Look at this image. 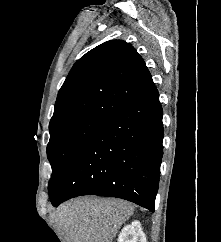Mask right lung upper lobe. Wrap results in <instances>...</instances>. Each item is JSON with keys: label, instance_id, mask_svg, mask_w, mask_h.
Wrapping results in <instances>:
<instances>
[{"label": "right lung upper lobe", "instance_id": "obj_1", "mask_svg": "<svg viewBox=\"0 0 221 242\" xmlns=\"http://www.w3.org/2000/svg\"><path fill=\"white\" fill-rule=\"evenodd\" d=\"M154 85L131 44L110 40L86 53L59 90L49 129L86 119L103 121Z\"/></svg>", "mask_w": 221, "mask_h": 242}]
</instances>
